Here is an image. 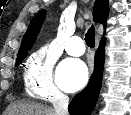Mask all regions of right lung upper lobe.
<instances>
[{"label": "right lung upper lobe", "instance_id": "cb5924a9", "mask_svg": "<svg viewBox=\"0 0 131 115\" xmlns=\"http://www.w3.org/2000/svg\"><path fill=\"white\" fill-rule=\"evenodd\" d=\"M109 11L108 0H97L95 7L93 9V19L95 22L101 23L106 26V19ZM46 16V11L41 10L32 19L29 28L27 29L24 37L22 39L21 47L18 52V56L24 54L26 51L30 50L36 41L37 35L40 31L41 25L43 24Z\"/></svg>", "mask_w": 131, "mask_h": 115}]
</instances>
